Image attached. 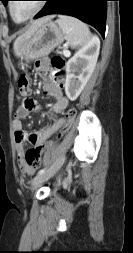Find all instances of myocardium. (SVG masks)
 I'll return each instance as SVG.
<instances>
[{
  "instance_id": "myocardium-1",
  "label": "myocardium",
  "mask_w": 133,
  "mask_h": 253,
  "mask_svg": "<svg viewBox=\"0 0 133 253\" xmlns=\"http://www.w3.org/2000/svg\"><path fill=\"white\" fill-rule=\"evenodd\" d=\"M12 3L13 1H10L8 3V10H9V14L12 18V20L16 23H24L27 22L28 20L32 19L33 17H35L44 7V0H40L38 1V4L36 6V8L32 11V13H30L26 18L22 19V20H16L14 15H13V11H12Z\"/></svg>"
}]
</instances>
